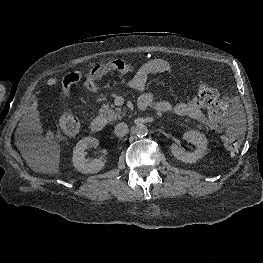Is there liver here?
<instances>
[{
	"mask_svg": "<svg viewBox=\"0 0 263 263\" xmlns=\"http://www.w3.org/2000/svg\"><path fill=\"white\" fill-rule=\"evenodd\" d=\"M27 161L30 162V160L28 159V157H26Z\"/></svg>",
	"mask_w": 263,
	"mask_h": 263,
	"instance_id": "1",
	"label": "liver"
}]
</instances>
